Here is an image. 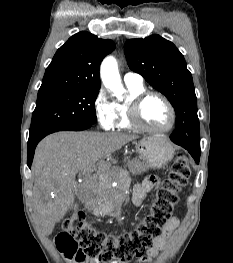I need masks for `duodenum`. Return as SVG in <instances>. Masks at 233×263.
Listing matches in <instances>:
<instances>
[{
    "label": "duodenum",
    "mask_w": 233,
    "mask_h": 263,
    "mask_svg": "<svg viewBox=\"0 0 233 263\" xmlns=\"http://www.w3.org/2000/svg\"><path fill=\"white\" fill-rule=\"evenodd\" d=\"M85 205L88 210L94 209L96 205L94 198L88 196L86 199Z\"/></svg>",
    "instance_id": "410a0bca"
}]
</instances>
